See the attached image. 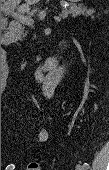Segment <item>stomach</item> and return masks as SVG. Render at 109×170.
<instances>
[{"mask_svg":"<svg viewBox=\"0 0 109 170\" xmlns=\"http://www.w3.org/2000/svg\"><path fill=\"white\" fill-rule=\"evenodd\" d=\"M70 3H77V2H80L81 0H68Z\"/></svg>","mask_w":109,"mask_h":170,"instance_id":"obj_1","label":"stomach"}]
</instances>
